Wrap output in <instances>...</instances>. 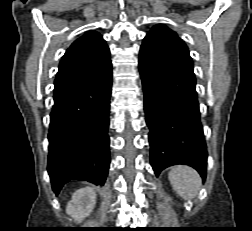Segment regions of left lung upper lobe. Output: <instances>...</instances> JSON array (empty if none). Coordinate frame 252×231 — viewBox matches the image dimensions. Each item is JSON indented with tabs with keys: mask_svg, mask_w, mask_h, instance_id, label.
I'll return each instance as SVG.
<instances>
[{
	"mask_svg": "<svg viewBox=\"0 0 252 231\" xmlns=\"http://www.w3.org/2000/svg\"><path fill=\"white\" fill-rule=\"evenodd\" d=\"M158 40H167L172 42H177L187 48L186 44L178 37L176 32L169 29L167 26L158 24L152 27L151 31L147 33L146 37L143 40L147 41H158Z\"/></svg>",
	"mask_w": 252,
	"mask_h": 231,
	"instance_id": "5c2ea615",
	"label": "left lung upper lobe"
}]
</instances>
